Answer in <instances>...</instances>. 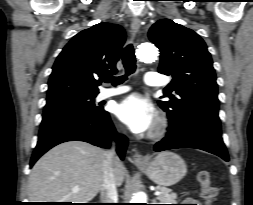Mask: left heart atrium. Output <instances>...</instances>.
Masks as SVG:
<instances>
[{
  "mask_svg": "<svg viewBox=\"0 0 253 205\" xmlns=\"http://www.w3.org/2000/svg\"><path fill=\"white\" fill-rule=\"evenodd\" d=\"M115 114L132 132L144 133L155 124L153 105L140 95H131L117 104Z\"/></svg>",
  "mask_w": 253,
  "mask_h": 205,
  "instance_id": "39dd6f15",
  "label": "left heart atrium"
}]
</instances>
